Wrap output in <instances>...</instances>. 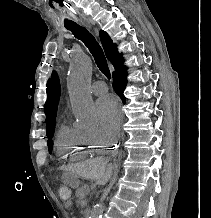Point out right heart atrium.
<instances>
[{"mask_svg": "<svg viewBox=\"0 0 211 218\" xmlns=\"http://www.w3.org/2000/svg\"><path fill=\"white\" fill-rule=\"evenodd\" d=\"M85 137L92 143L97 145H108L111 142L109 135L100 129L84 130Z\"/></svg>", "mask_w": 211, "mask_h": 218, "instance_id": "obj_1", "label": "right heart atrium"}]
</instances>
